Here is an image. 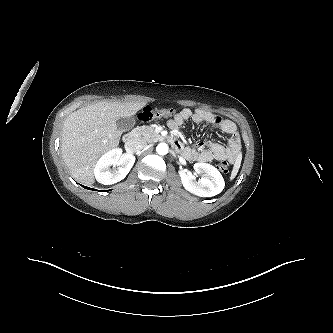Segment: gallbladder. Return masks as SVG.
<instances>
[{"label": "gallbladder", "instance_id": "bac80fb5", "mask_svg": "<svg viewBox=\"0 0 333 333\" xmlns=\"http://www.w3.org/2000/svg\"><path fill=\"white\" fill-rule=\"evenodd\" d=\"M134 124H135V118L133 116L125 118L120 117L116 121L117 129L121 132H126L132 129Z\"/></svg>", "mask_w": 333, "mask_h": 333}]
</instances>
